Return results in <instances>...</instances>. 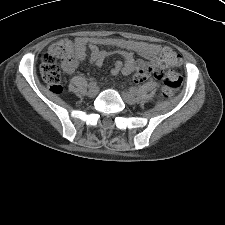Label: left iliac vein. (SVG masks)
<instances>
[{"mask_svg":"<svg viewBox=\"0 0 225 225\" xmlns=\"http://www.w3.org/2000/svg\"><path fill=\"white\" fill-rule=\"evenodd\" d=\"M122 96L124 101L129 105H135L137 103V99L128 91H124Z\"/></svg>","mask_w":225,"mask_h":225,"instance_id":"obj_1","label":"left iliac vein"}]
</instances>
